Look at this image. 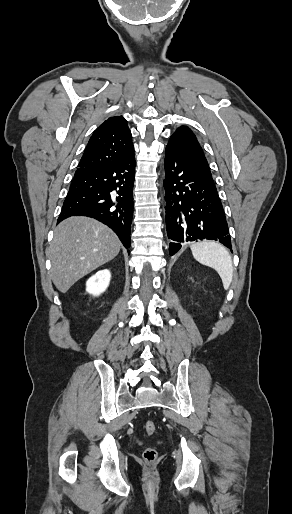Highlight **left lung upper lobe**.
Returning <instances> with one entry per match:
<instances>
[{"instance_id":"left-lung-upper-lobe-1","label":"left lung upper lobe","mask_w":292,"mask_h":514,"mask_svg":"<svg viewBox=\"0 0 292 514\" xmlns=\"http://www.w3.org/2000/svg\"><path fill=\"white\" fill-rule=\"evenodd\" d=\"M168 145L180 149L199 169L212 176L203 149L193 131L187 126H180L171 135Z\"/></svg>"}]
</instances>
